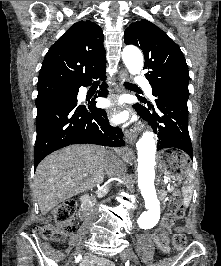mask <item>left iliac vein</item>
I'll list each match as a JSON object with an SVG mask.
<instances>
[{"instance_id": "left-iliac-vein-1", "label": "left iliac vein", "mask_w": 221, "mask_h": 266, "mask_svg": "<svg viewBox=\"0 0 221 266\" xmlns=\"http://www.w3.org/2000/svg\"><path fill=\"white\" fill-rule=\"evenodd\" d=\"M121 257L125 260L126 259L131 260L135 266L139 264V260H138L137 256L135 255V253L131 249L124 250L121 253Z\"/></svg>"}]
</instances>
